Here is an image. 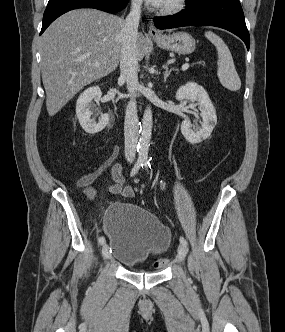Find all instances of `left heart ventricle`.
Wrapping results in <instances>:
<instances>
[{
    "mask_svg": "<svg viewBox=\"0 0 285 332\" xmlns=\"http://www.w3.org/2000/svg\"><path fill=\"white\" fill-rule=\"evenodd\" d=\"M172 1H174V0H167L166 3L164 4V6L170 4Z\"/></svg>",
    "mask_w": 285,
    "mask_h": 332,
    "instance_id": "obj_1",
    "label": "left heart ventricle"
}]
</instances>
